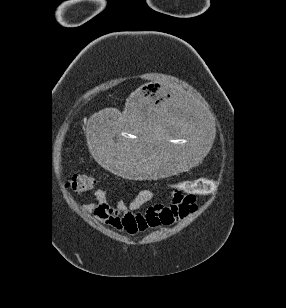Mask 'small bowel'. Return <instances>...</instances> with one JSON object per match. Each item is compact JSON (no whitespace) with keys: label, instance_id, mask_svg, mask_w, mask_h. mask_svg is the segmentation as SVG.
<instances>
[{"label":"small bowel","instance_id":"c3829d8e","mask_svg":"<svg viewBox=\"0 0 286 308\" xmlns=\"http://www.w3.org/2000/svg\"><path fill=\"white\" fill-rule=\"evenodd\" d=\"M197 193L187 191L179 184L169 204H155L145 213L139 212L155 196L151 189H142L129 202L118 201L111 205L104 188H98L92 200L82 209L91 212L102 224L130 236H136L148 229L171 226L197 210Z\"/></svg>","mask_w":286,"mask_h":308}]
</instances>
